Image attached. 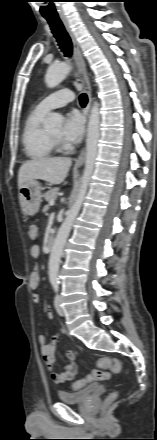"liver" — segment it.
<instances>
[{
    "mask_svg": "<svg viewBox=\"0 0 157 440\" xmlns=\"http://www.w3.org/2000/svg\"><path fill=\"white\" fill-rule=\"evenodd\" d=\"M72 160L68 157L39 158L25 162L19 169L18 187L34 181L44 180L50 184H61L65 181Z\"/></svg>",
    "mask_w": 157,
    "mask_h": 440,
    "instance_id": "6515ba94",
    "label": "liver"
}]
</instances>
